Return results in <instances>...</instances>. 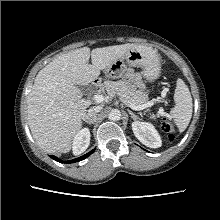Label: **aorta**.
Listing matches in <instances>:
<instances>
[{
    "instance_id": "1",
    "label": "aorta",
    "mask_w": 220,
    "mask_h": 220,
    "mask_svg": "<svg viewBox=\"0 0 220 220\" xmlns=\"http://www.w3.org/2000/svg\"><path fill=\"white\" fill-rule=\"evenodd\" d=\"M108 118L111 121H118L121 118V112L118 109H112L108 114Z\"/></svg>"
}]
</instances>
